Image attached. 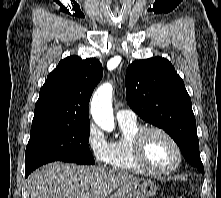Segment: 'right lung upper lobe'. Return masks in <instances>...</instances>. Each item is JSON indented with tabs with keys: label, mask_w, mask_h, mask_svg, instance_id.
Returning a JSON list of instances; mask_svg holds the SVG:
<instances>
[{
	"label": "right lung upper lobe",
	"mask_w": 221,
	"mask_h": 198,
	"mask_svg": "<svg viewBox=\"0 0 221 198\" xmlns=\"http://www.w3.org/2000/svg\"><path fill=\"white\" fill-rule=\"evenodd\" d=\"M102 76V65L95 58L61 60L40 89L32 124H90L88 104Z\"/></svg>",
	"instance_id": "right-lung-upper-lobe-1"
}]
</instances>
